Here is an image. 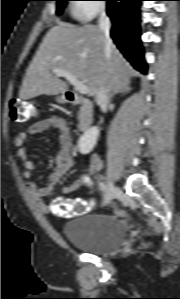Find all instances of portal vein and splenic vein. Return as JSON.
<instances>
[{
    "instance_id": "obj_1",
    "label": "portal vein and splenic vein",
    "mask_w": 180,
    "mask_h": 299,
    "mask_svg": "<svg viewBox=\"0 0 180 299\" xmlns=\"http://www.w3.org/2000/svg\"><path fill=\"white\" fill-rule=\"evenodd\" d=\"M52 71L57 77L66 78L69 81V83L74 86V89L80 94H87L89 92L88 87L83 82L79 81L70 72L60 69H53Z\"/></svg>"
}]
</instances>
